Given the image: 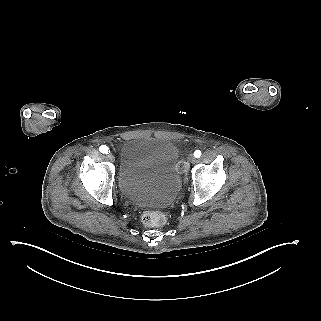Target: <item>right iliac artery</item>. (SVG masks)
<instances>
[{"instance_id": "82829eb1", "label": "right iliac artery", "mask_w": 321, "mask_h": 321, "mask_svg": "<svg viewBox=\"0 0 321 321\" xmlns=\"http://www.w3.org/2000/svg\"><path fill=\"white\" fill-rule=\"evenodd\" d=\"M99 150L101 153H106V154H108V152H110L109 148L105 145L100 146Z\"/></svg>"}]
</instances>
